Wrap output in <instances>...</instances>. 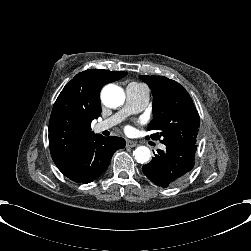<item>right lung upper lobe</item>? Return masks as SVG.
I'll return each instance as SVG.
<instances>
[{"label":"right lung upper lobe","mask_w":251,"mask_h":251,"mask_svg":"<svg viewBox=\"0 0 251 251\" xmlns=\"http://www.w3.org/2000/svg\"><path fill=\"white\" fill-rule=\"evenodd\" d=\"M127 72L89 69L77 74L59 94L49 121V148L57 165L95 137L92 120L101 114L100 91Z\"/></svg>","instance_id":"right-lung-upper-lobe-1"}]
</instances>
